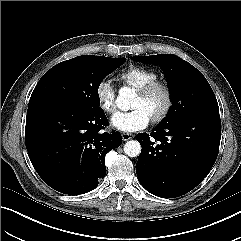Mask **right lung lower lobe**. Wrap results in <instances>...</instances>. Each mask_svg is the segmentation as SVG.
Returning a JSON list of instances; mask_svg holds the SVG:
<instances>
[{
    "label": "right lung lower lobe",
    "instance_id": "obj_1",
    "mask_svg": "<svg viewBox=\"0 0 241 241\" xmlns=\"http://www.w3.org/2000/svg\"><path fill=\"white\" fill-rule=\"evenodd\" d=\"M108 124L102 109L85 113L48 104L27 111L25 143L38 175L64 194L93 190L105 176V155L121 145L119 132H102Z\"/></svg>",
    "mask_w": 241,
    "mask_h": 241
}]
</instances>
